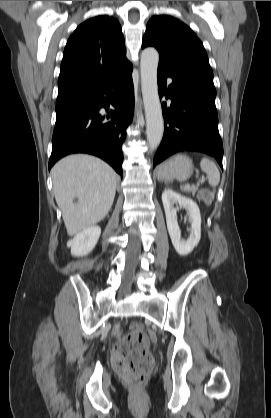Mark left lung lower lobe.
<instances>
[{
	"mask_svg": "<svg viewBox=\"0 0 271 418\" xmlns=\"http://www.w3.org/2000/svg\"><path fill=\"white\" fill-rule=\"evenodd\" d=\"M167 78L172 83L166 85ZM158 92L171 99L162 104L165 131L153 167L179 151H197L217 159L222 167L223 145L218 131L215 88L158 67Z\"/></svg>",
	"mask_w": 271,
	"mask_h": 418,
	"instance_id": "0a47b994",
	"label": "left lung lower lobe"
}]
</instances>
